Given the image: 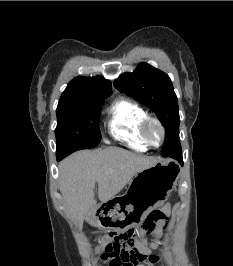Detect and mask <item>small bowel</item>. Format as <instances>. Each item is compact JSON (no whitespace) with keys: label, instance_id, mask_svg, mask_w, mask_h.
Listing matches in <instances>:
<instances>
[{"label":"small bowel","instance_id":"c3829d8e","mask_svg":"<svg viewBox=\"0 0 233 266\" xmlns=\"http://www.w3.org/2000/svg\"><path fill=\"white\" fill-rule=\"evenodd\" d=\"M163 212L167 214L169 212V207L166 206ZM165 227L166 225L163 224H158L156 226V228L153 230L156 236V240L151 243H148L147 240L145 239L144 237V234L146 233L145 231H143L142 229L135 230V245L137 251L143 256L142 262L145 261L146 259H148L153 264L158 262V257L154 255L153 252L158 248V246L161 243ZM105 244L106 242L102 241L97 246V251L102 252L100 255L102 260H107V258L104 255ZM140 264H138L137 266H139ZM110 266H122V264L118 261H114L112 263L110 261Z\"/></svg>","mask_w":233,"mask_h":266}]
</instances>
